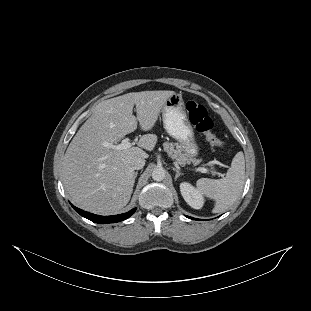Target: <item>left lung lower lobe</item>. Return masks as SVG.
I'll return each mask as SVG.
<instances>
[{"mask_svg":"<svg viewBox=\"0 0 311 311\" xmlns=\"http://www.w3.org/2000/svg\"><path fill=\"white\" fill-rule=\"evenodd\" d=\"M188 218H190V219H194V218H192V217H189V216H187ZM195 220H198V219H195Z\"/></svg>","mask_w":311,"mask_h":311,"instance_id":"1","label":"left lung lower lobe"}]
</instances>
